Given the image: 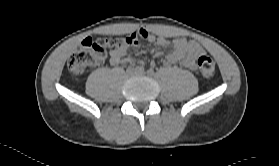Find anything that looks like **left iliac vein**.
Listing matches in <instances>:
<instances>
[{"label": "left iliac vein", "instance_id": "obj_1", "mask_svg": "<svg viewBox=\"0 0 279 166\" xmlns=\"http://www.w3.org/2000/svg\"><path fill=\"white\" fill-rule=\"evenodd\" d=\"M137 74L144 75V72H137Z\"/></svg>", "mask_w": 279, "mask_h": 166}]
</instances>
